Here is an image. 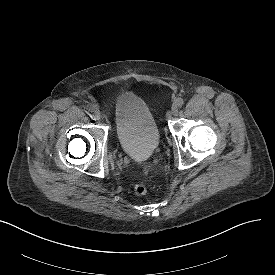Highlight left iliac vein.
Segmentation results:
<instances>
[{
  "label": "left iliac vein",
  "mask_w": 275,
  "mask_h": 275,
  "mask_svg": "<svg viewBox=\"0 0 275 275\" xmlns=\"http://www.w3.org/2000/svg\"><path fill=\"white\" fill-rule=\"evenodd\" d=\"M178 112H179L178 105L176 103H174L171 108V113H172V115L176 116V115H178Z\"/></svg>",
  "instance_id": "4c4485c4"
}]
</instances>
